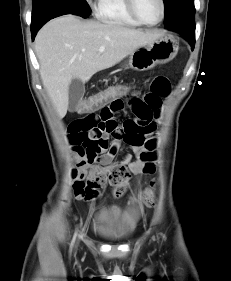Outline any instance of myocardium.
Listing matches in <instances>:
<instances>
[{
	"mask_svg": "<svg viewBox=\"0 0 231 281\" xmlns=\"http://www.w3.org/2000/svg\"><path fill=\"white\" fill-rule=\"evenodd\" d=\"M126 2V6L127 9L129 11V13L131 14V16L137 21L139 22L141 25H145V26H157L159 24H161L165 18V14H166V5H165V1L164 0H160V4H161V16L160 19L154 23H149L147 21H145L140 14L138 13L137 7H136V0H125Z\"/></svg>",
	"mask_w": 231,
	"mask_h": 281,
	"instance_id": "myocardium-1",
	"label": "myocardium"
}]
</instances>
